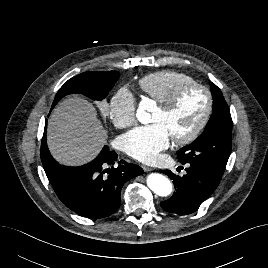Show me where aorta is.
Listing matches in <instances>:
<instances>
[{"instance_id": "aorta-1", "label": "aorta", "mask_w": 268, "mask_h": 268, "mask_svg": "<svg viewBox=\"0 0 268 268\" xmlns=\"http://www.w3.org/2000/svg\"><path fill=\"white\" fill-rule=\"evenodd\" d=\"M152 100L143 99L138 106L136 117L142 124L151 121L150 111L153 108ZM147 186L157 195L165 197L172 193L173 185L170 180L160 173H151L146 178Z\"/></svg>"}]
</instances>
